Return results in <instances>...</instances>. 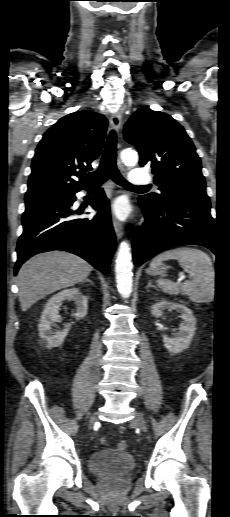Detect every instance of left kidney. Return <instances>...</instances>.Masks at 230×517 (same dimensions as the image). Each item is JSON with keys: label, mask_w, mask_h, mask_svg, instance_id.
Instances as JSON below:
<instances>
[{"label": "left kidney", "mask_w": 230, "mask_h": 517, "mask_svg": "<svg viewBox=\"0 0 230 517\" xmlns=\"http://www.w3.org/2000/svg\"><path fill=\"white\" fill-rule=\"evenodd\" d=\"M176 310L181 314L183 321L181 322L178 333L173 334L172 337L163 336L165 347L174 353H179L187 349L196 331V318L192 311L183 304L171 303L169 301H159L151 306V313L154 317L159 318L164 311ZM176 330V329H175Z\"/></svg>", "instance_id": "5707ae66"}]
</instances>
